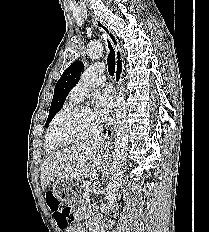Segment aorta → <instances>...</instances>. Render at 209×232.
Masks as SVG:
<instances>
[{
  "label": "aorta",
  "mask_w": 209,
  "mask_h": 232,
  "mask_svg": "<svg viewBox=\"0 0 209 232\" xmlns=\"http://www.w3.org/2000/svg\"><path fill=\"white\" fill-rule=\"evenodd\" d=\"M102 52L103 46L99 40H93L88 45L87 53L92 60L99 59L102 56ZM115 111L114 154L112 157L110 168L111 177L107 186L106 196L108 207H112L116 201L127 162L129 135L123 88H120L119 94L116 98Z\"/></svg>",
  "instance_id": "1"
}]
</instances>
